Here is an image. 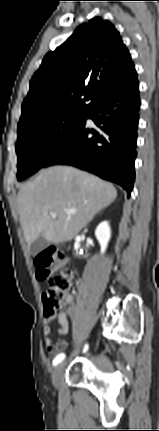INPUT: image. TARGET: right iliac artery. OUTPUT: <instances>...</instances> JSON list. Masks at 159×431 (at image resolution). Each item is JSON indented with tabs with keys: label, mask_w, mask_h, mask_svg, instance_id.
Here are the masks:
<instances>
[{
	"label": "right iliac artery",
	"mask_w": 159,
	"mask_h": 431,
	"mask_svg": "<svg viewBox=\"0 0 159 431\" xmlns=\"http://www.w3.org/2000/svg\"><path fill=\"white\" fill-rule=\"evenodd\" d=\"M87 349H88V345H86V346H85V348H84V352H86V351H87ZM64 358H65V354H64V353L58 354V355L55 357V359H54V365L59 364V363H60Z\"/></svg>",
	"instance_id": "obj_1"
}]
</instances>
